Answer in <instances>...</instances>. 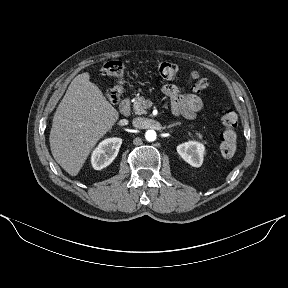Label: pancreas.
I'll return each mask as SVG.
<instances>
[{"instance_id": "pancreas-1", "label": "pancreas", "mask_w": 288, "mask_h": 288, "mask_svg": "<svg viewBox=\"0 0 288 288\" xmlns=\"http://www.w3.org/2000/svg\"><path fill=\"white\" fill-rule=\"evenodd\" d=\"M147 100L141 96L138 97L133 101V111L135 114L141 115V114H146L147 111ZM196 135L202 139V135L199 132H196Z\"/></svg>"}]
</instances>
